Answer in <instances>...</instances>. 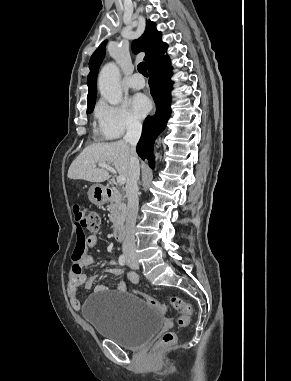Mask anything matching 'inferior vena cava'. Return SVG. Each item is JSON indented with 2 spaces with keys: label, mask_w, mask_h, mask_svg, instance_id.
I'll return each mask as SVG.
<instances>
[{
  "label": "inferior vena cava",
  "mask_w": 291,
  "mask_h": 381,
  "mask_svg": "<svg viewBox=\"0 0 291 381\" xmlns=\"http://www.w3.org/2000/svg\"><path fill=\"white\" fill-rule=\"evenodd\" d=\"M142 125L139 121L132 120L124 137L129 145L130 169L126 182L127 210H126V236L122 245L125 255L135 254V224L138 214V180L140 176L139 160L136 154V145L140 139Z\"/></svg>",
  "instance_id": "obj_1"
}]
</instances>
